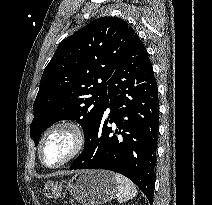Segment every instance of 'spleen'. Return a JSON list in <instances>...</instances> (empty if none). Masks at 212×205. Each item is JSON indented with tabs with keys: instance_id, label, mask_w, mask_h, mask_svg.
I'll return each instance as SVG.
<instances>
[{
	"instance_id": "spleen-1",
	"label": "spleen",
	"mask_w": 212,
	"mask_h": 205,
	"mask_svg": "<svg viewBox=\"0 0 212 205\" xmlns=\"http://www.w3.org/2000/svg\"><path fill=\"white\" fill-rule=\"evenodd\" d=\"M114 177L119 190L118 201L120 203L126 202L136 196L137 189L128 178L117 173L114 174Z\"/></svg>"
}]
</instances>
